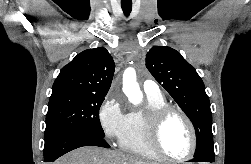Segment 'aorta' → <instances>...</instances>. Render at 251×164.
Instances as JSON below:
<instances>
[{"label":"aorta","mask_w":251,"mask_h":164,"mask_svg":"<svg viewBox=\"0 0 251 164\" xmlns=\"http://www.w3.org/2000/svg\"><path fill=\"white\" fill-rule=\"evenodd\" d=\"M123 91L129 101L134 105L141 103L142 92L136 79V71L134 68H127L123 73Z\"/></svg>","instance_id":"1"}]
</instances>
